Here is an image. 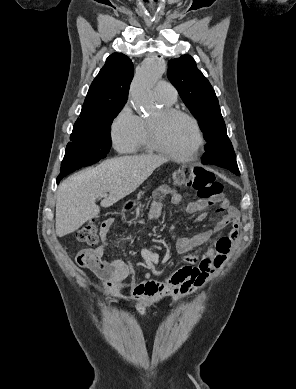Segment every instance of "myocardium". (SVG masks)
Instances as JSON below:
<instances>
[{
	"label": "myocardium",
	"mask_w": 296,
	"mask_h": 389,
	"mask_svg": "<svg viewBox=\"0 0 296 389\" xmlns=\"http://www.w3.org/2000/svg\"><path fill=\"white\" fill-rule=\"evenodd\" d=\"M161 116L163 118L180 116L188 119L194 127L196 133V143L193 149L188 154H176L170 149H168L161 141L155 122L147 120V134L151 148L176 161L189 162L194 160L199 155L204 145V136L198 120L190 113L173 106H164L161 109Z\"/></svg>",
	"instance_id": "f54148a6"
}]
</instances>
